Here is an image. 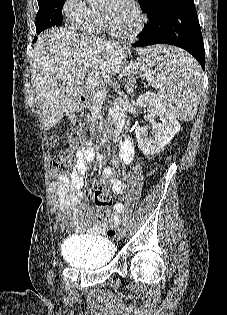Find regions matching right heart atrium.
<instances>
[{"label":"right heart atrium","mask_w":227,"mask_h":315,"mask_svg":"<svg viewBox=\"0 0 227 315\" xmlns=\"http://www.w3.org/2000/svg\"><path fill=\"white\" fill-rule=\"evenodd\" d=\"M62 13L72 27L84 28L100 14L87 5L84 0H64Z\"/></svg>","instance_id":"1"}]
</instances>
